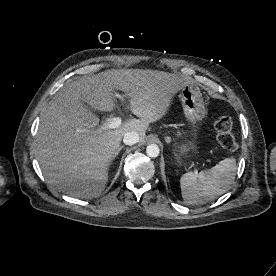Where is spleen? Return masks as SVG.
Instances as JSON below:
<instances>
[{
  "label": "spleen",
  "instance_id": "obj_1",
  "mask_svg": "<svg viewBox=\"0 0 276 276\" xmlns=\"http://www.w3.org/2000/svg\"><path fill=\"white\" fill-rule=\"evenodd\" d=\"M236 170V160L231 157L225 158L211 169L183 174L180 187L184 202L199 205L218 198L229 189Z\"/></svg>",
  "mask_w": 276,
  "mask_h": 276
}]
</instances>
